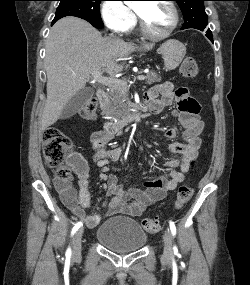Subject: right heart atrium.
Wrapping results in <instances>:
<instances>
[{"mask_svg": "<svg viewBox=\"0 0 250 285\" xmlns=\"http://www.w3.org/2000/svg\"><path fill=\"white\" fill-rule=\"evenodd\" d=\"M104 24L114 32L127 33L136 23L133 11L122 0H105L101 5Z\"/></svg>", "mask_w": 250, "mask_h": 285, "instance_id": "d8ad5b80", "label": "right heart atrium"}]
</instances>
